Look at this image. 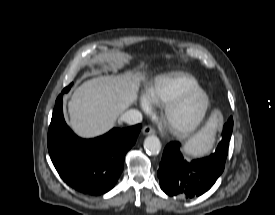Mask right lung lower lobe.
Here are the masks:
<instances>
[{
	"mask_svg": "<svg viewBox=\"0 0 275 215\" xmlns=\"http://www.w3.org/2000/svg\"><path fill=\"white\" fill-rule=\"evenodd\" d=\"M141 125L113 128L82 139L66 125L62 93L58 96L48 131V150L60 177L79 192L101 195L113 188L124 167L127 151L135 144Z\"/></svg>",
	"mask_w": 275,
	"mask_h": 215,
	"instance_id": "obj_1",
	"label": "right lung lower lobe"
}]
</instances>
